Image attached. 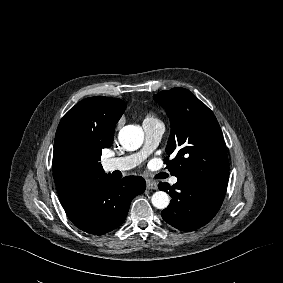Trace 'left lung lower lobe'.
<instances>
[{"label":"left lung lower lobe","mask_w":283,"mask_h":283,"mask_svg":"<svg viewBox=\"0 0 283 283\" xmlns=\"http://www.w3.org/2000/svg\"><path fill=\"white\" fill-rule=\"evenodd\" d=\"M158 187L168 191L172 198L161 213L163 219L182 231H193L207 224L218 212L226 193V189L186 178H178L172 187L167 183H160Z\"/></svg>","instance_id":"left-lung-lower-lobe-1"}]
</instances>
